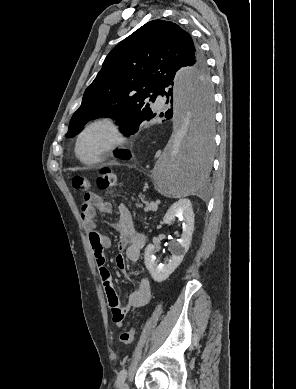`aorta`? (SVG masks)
<instances>
[{"instance_id":"obj_1","label":"aorta","mask_w":296,"mask_h":389,"mask_svg":"<svg viewBox=\"0 0 296 389\" xmlns=\"http://www.w3.org/2000/svg\"><path fill=\"white\" fill-rule=\"evenodd\" d=\"M175 130L155 165V179L167 194L186 196L201 189L214 149L213 83L209 72L181 69L172 84Z\"/></svg>"}]
</instances>
